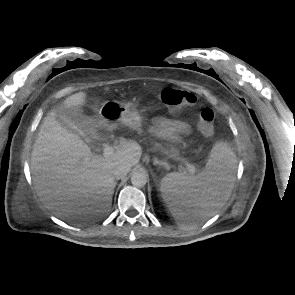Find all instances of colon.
I'll list each match as a JSON object with an SVG mask.
<instances>
[{
  "label": "colon",
  "mask_w": 295,
  "mask_h": 295,
  "mask_svg": "<svg viewBox=\"0 0 295 295\" xmlns=\"http://www.w3.org/2000/svg\"><path fill=\"white\" fill-rule=\"evenodd\" d=\"M161 103L167 106L169 109L175 112L182 111L183 109L193 106L196 102V98L185 90L175 88H164L157 90L154 93ZM214 112L210 108H202L198 118V129L205 135L210 136L214 132Z\"/></svg>",
  "instance_id": "5ec220e1"
}]
</instances>
